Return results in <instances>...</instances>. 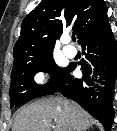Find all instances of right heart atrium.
<instances>
[{
    "label": "right heart atrium",
    "mask_w": 117,
    "mask_h": 131,
    "mask_svg": "<svg viewBox=\"0 0 117 131\" xmlns=\"http://www.w3.org/2000/svg\"><path fill=\"white\" fill-rule=\"evenodd\" d=\"M34 79H35V81H36L37 83H39V84H40V83H43L44 80L46 79V74L43 73V72H39V73H37V74L35 75Z\"/></svg>",
    "instance_id": "d8ad5b80"
}]
</instances>
